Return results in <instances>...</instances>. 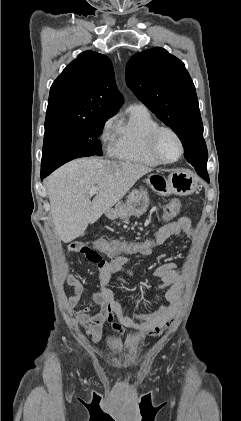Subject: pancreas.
Listing matches in <instances>:
<instances>
[{"label":"pancreas","mask_w":241,"mask_h":421,"mask_svg":"<svg viewBox=\"0 0 241 421\" xmlns=\"http://www.w3.org/2000/svg\"><path fill=\"white\" fill-rule=\"evenodd\" d=\"M140 194V191L138 190H133L128 196H127V200L125 202V207H126V211H127V215L123 218L125 220H128L130 217V214L128 213L133 206V203L138 199Z\"/></svg>","instance_id":"cf45deb5"}]
</instances>
